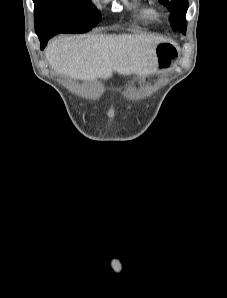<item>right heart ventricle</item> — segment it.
<instances>
[{
  "mask_svg": "<svg viewBox=\"0 0 227 298\" xmlns=\"http://www.w3.org/2000/svg\"><path fill=\"white\" fill-rule=\"evenodd\" d=\"M142 11L148 17H153L158 13L157 8L152 5L144 7Z\"/></svg>",
  "mask_w": 227,
  "mask_h": 298,
  "instance_id": "1",
  "label": "right heart ventricle"
}]
</instances>
